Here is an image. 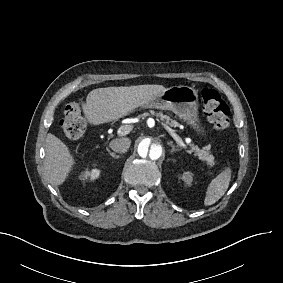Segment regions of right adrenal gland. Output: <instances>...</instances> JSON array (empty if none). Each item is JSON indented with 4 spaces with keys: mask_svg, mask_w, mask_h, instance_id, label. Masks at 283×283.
Segmentation results:
<instances>
[{
    "mask_svg": "<svg viewBox=\"0 0 283 283\" xmlns=\"http://www.w3.org/2000/svg\"><path fill=\"white\" fill-rule=\"evenodd\" d=\"M107 152H108L109 155H110L111 157H113L114 159L120 158V156H118L116 153H112L109 149H107Z\"/></svg>",
    "mask_w": 283,
    "mask_h": 283,
    "instance_id": "1",
    "label": "right adrenal gland"
}]
</instances>
